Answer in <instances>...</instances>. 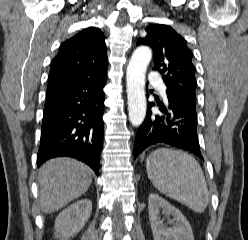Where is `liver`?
<instances>
[{"instance_id":"obj_1","label":"liver","mask_w":248,"mask_h":240,"mask_svg":"<svg viewBox=\"0 0 248 240\" xmlns=\"http://www.w3.org/2000/svg\"><path fill=\"white\" fill-rule=\"evenodd\" d=\"M92 182V170L71 158H54L38 172L39 202L42 212L58 211L84 194Z\"/></svg>"}]
</instances>
